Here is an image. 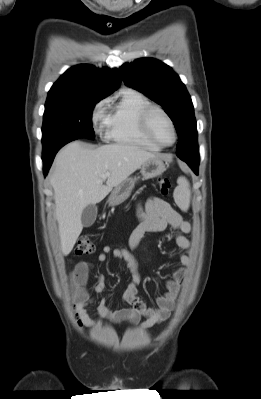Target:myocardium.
I'll return each mask as SVG.
<instances>
[{"instance_id": "1", "label": "myocardium", "mask_w": 261, "mask_h": 399, "mask_svg": "<svg viewBox=\"0 0 261 399\" xmlns=\"http://www.w3.org/2000/svg\"><path fill=\"white\" fill-rule=\"evenodd\" d=\"M154 112L161 113L169 122V124L172 128V131H173V141L170 144L161 143L154 137V135L151 132L150 117ZM139 124H140V129H141V132L143 133V135L150 142H152L154 145H156L159 148L171 147L177 141L178 133H177L176 125H175L173 119L171 118V116L160 106L151 104V105L147 106L145 109H143L142 112L140 113Z\"/></svg>"}]
</instances>
